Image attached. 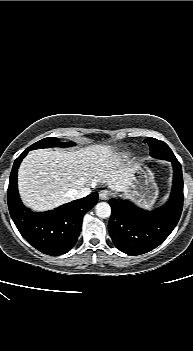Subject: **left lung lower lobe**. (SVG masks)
Segmentation results:
<instances>
[{"label": "left lung lower lobe", "instance_id": "left-lung-lower-lobe-1", "mask_svg": "<svg viewBox=\"0 0 193 351\" xmlns=\"http://www.w3.org/2000/svg\"><path fill=\"white\" fill-rule=\"evenodd\" d=\"M169 201L159 209L146 211L130 201L110 199L112 214L108 228L115 246L129 255L147 253L159 246L177 225L183 208V177L176 157Z\"/></svg>", "mask_w": 193, "mask_h": 351}]
</instances>
